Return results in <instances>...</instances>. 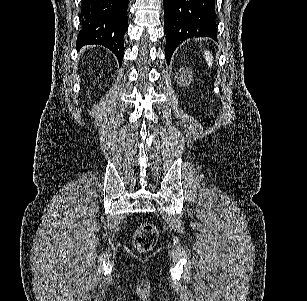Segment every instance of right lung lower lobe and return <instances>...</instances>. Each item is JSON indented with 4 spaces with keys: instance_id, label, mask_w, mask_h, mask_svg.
<instances>
[{
    "instance_id": "right-lung-lower-lobe-1",
    "label": "right lung lower lobe",
    "mask_w": 307,
    "mask_h": 301,
    "mask_svg": "<svg viewBox=\"0 0 307 301\" xmlns=\"http://www.w3.org/2000/svg\"><path fill=\"white\" fill-rule=\"evenodd\" d=\"M129 0H82V29L77 49L84 45H102L111 50L121 64L124 57V34L128 29Z\"/></svg>"
}]
</instances>
